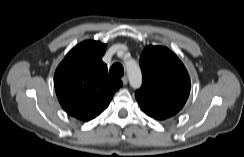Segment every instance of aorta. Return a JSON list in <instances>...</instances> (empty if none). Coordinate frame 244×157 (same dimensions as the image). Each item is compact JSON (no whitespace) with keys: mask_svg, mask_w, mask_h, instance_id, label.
I'll return each mask as SVG.
<instances>
[{"mask_svg":"<svg viewBox=\"0 0 244 157\" xmlns=\"http://www.w3.org/2000/svg\"><path fill=\"white\" fill-rule=\"evenodd\" d=\"M126 70L130 85L133 88H139L142 83V74L138 65L133 61L126 62Z\"/></svg>","mask_w":244,"mask_h":157,"instance_id":"obj_1","label":"aorta"}]
</instances>
